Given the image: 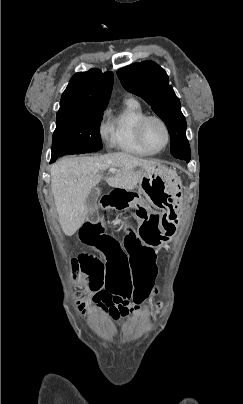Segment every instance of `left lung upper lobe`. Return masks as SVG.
Here are the masks:
<instances>
[{"label": "left lung upper lobe", "instance_id": "left-lung-upper-lobe-1", "mask_svg": "<svg viewBox=\"0 0 243 404\" xmlns=\"http://www.w3.org/2000/svg\"><path fill=\"white\" fill-rule=\"evenodd\" d=\"M123 87L142 97L165 122L171 142V154L176 158H191L186 138V120L180 101L168 84L166 72L153 61L134 63L117 71Z\"/></svg>", "mask_w": 243, "mask_h": 404}]
</instances>
